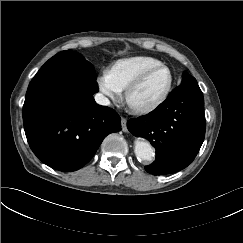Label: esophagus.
<instances>
[{"label":"esophagus","mask_w":243,"mask_h":243,"mask_svg":"<svg viewBox=\"0 0 243 243\" xmlns=\"http://www.w3.org/2000/svg\"><path fill=\"white\" fill-rule=\"evenodd\" d=\"M121 125H122V131L123 132H128L127 129V119L126 118H121Z\"/></svg>","instance_id":"obj_1"}]
</instances>
